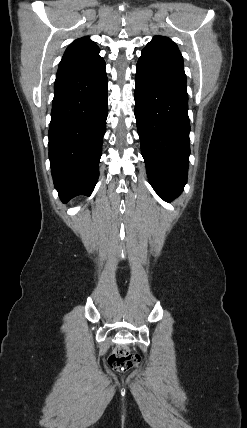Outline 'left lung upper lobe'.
Wrapping results in <instances>:
<instances>
[{"instance_id": "obj_1", "label": "left lung upper lobe", "mask_w": 247, "mask_h": 428, "mask_svg": "<svg viewBox=\"0 0 247 428\" xmlns=\"http://www.w3.org/2000/svg\"><path fill=\"white\" fill-rule=\"evenodd\" d=\"M145 48L156 50L183 60L177 45L168 37L155 36Z\"/></svg>"}]
</instances>
